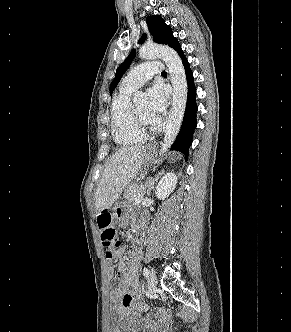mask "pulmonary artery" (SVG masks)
<instances>
[{
    "label": "pulmonary artery",
    "mask_w": 291,
    "mask_h": 332,
    "mask_svg": "<svg viewBox=\"0 0 291 332\" xmlns=\"http://www.w3.org/2000/svg\"><path fill=\"white\" fill-rule=\"evenodd\" d=\"M163 69V64L158 61L142 63L128 72L122 80L121 88L134 91L151 79L155 74L161 73Z\"/></svg>",
    "instance_id": "e3ab8cb5"
}]
</instances>
